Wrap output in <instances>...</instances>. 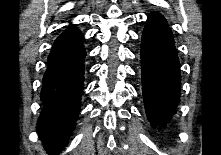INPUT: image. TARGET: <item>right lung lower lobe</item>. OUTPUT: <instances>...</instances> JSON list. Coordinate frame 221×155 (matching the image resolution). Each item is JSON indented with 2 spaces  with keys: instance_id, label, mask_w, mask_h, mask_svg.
<instances>
[{
  "instance_id": "1",
  "label": "right lung lower lobe",
  "mask_w": 221,
  "mask_h": 155,
  "mask_svg": "<svg viewBox=\"0 0 221 155\" xmlns=\"http://www.w3.org/2000/svg\"><path fill=\"white\" fill-rule=\"evenodd\" d=\"M84 36L73 26L54 42L43 76V110L38 119V134L49 155L67 145L74 130L83 92Z\"/></svg>"
}]
</instances>
